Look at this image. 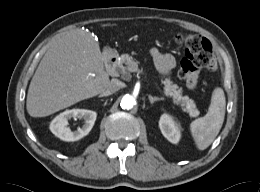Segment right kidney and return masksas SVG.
Segmentation results:
<instances>
[{
	"label": "right kidney",
	"instance_id": "1",
	"mask_svg": "<svg viewBox=\"0 0 260 192\" xmlns=\"http://www.w3.org/2000/svg\"><path fill=\"white\" fill-rule=\"evenodd\" d=\"M96 117L97 113L92 110H66L52 120L50 124V130L54 135L64 141H76L86 136L90 132L95 123ZM71 118L84 119L85 122L81 128H78L76 131H71V129L68 127V120Z\"/></svg>",
	"mask_w": 260,
	"mask_h": 192
}]
</instances>
